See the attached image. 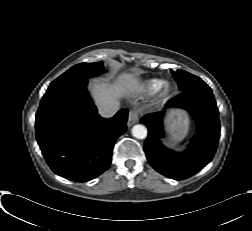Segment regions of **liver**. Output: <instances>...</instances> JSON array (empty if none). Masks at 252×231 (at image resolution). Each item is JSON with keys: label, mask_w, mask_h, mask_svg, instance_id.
<instances>
[{"label": "liver", "mask_w": 252, "mask_h": 231, "mask_svg": "<svg viewBox=\"0 0 252 231\" xmlns=\"http://www.w3.org/2000/svg\"><path fill=\"white\" fill-rule=\"evenodd\" d=\"M141 88L140 81L134 74H119L113 83L94 81L91 93L95 103L100 107L104 104L118 101L120 98L130 96Z\"/></svg>", "instance_id": "obj_1"}]
</instances>
